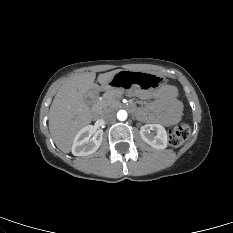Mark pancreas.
<instances>
[{"label": "pancreas", "mask_w": 233, "mask_h": 233, "mask_svg": "<svg viewBox=\"0 0 233 233\" xmlns=\"http://www.w3.org/2000/svg\"><path fill=\"white\" fill-rule=\"evenodd\" d=\"M121 99V92L112 90L104 93L102 99L98 101V105L102 111L114 110L119 105V100Z\"/></svg>", "instance_id": "1"}]
</instances>
